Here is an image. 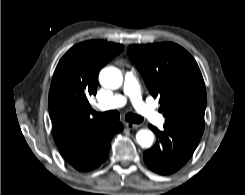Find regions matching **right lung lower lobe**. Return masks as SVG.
I'll return each mask as SVG.
<instances>
[{"label":"right lung lower lobe","instance_id":"1","mask_svg":"<svg viewBox=\"0 0 245 195\" xmlns=\"http://www.w3.org/2000/svg\"><path fill=\"white\" fill-rule=\"evenodd\" d=\"M123 130L121 122H108L99 132L96 139V158L93 164L83 171H90L99 167L107 158L110 150V142L113 135Z\"/></svg>","mask_w":245,"mask_h":195}]
</instances>
